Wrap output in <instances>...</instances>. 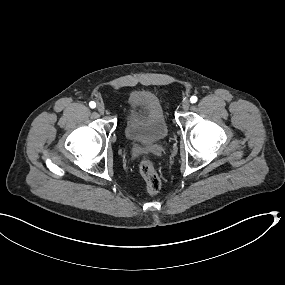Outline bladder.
Returning <instances> with one entry per match:
<instances>
[{
  "label": "bladder",
  "mask_w": 285,
  "mask_h": 285,
  "mask_svg": "<svg viewBox=\"0 0 285 285\" xmlns=\"http://www.w3.org/2000/svg\"><path fill=\"white\" fill-rule=\"evenodd\" d=\"M127 129L124 137L134 145L156 146L170 134L166 131L158 98L149 92H136L126 100Z\"/></svg>",
  "instance_id": "bladder-1"
}]
</instances>
